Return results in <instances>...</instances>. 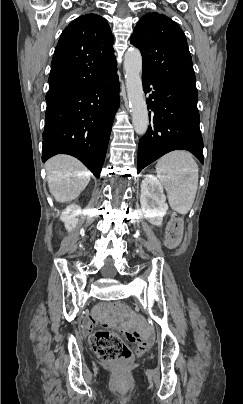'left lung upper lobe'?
Instances as JSON below:
<instances>
[{"mask_svg": "<svg viewBox=\"0 0 243 404\" xmlns=\"http://www.w3.org/2000/svg\"><path fill=\"white\" fill-rule=\"evenodd\" d=\"M142 54V74L195 86V74L185 34L170 18L148 13L130 39Z\"/></svg>", "mask_w": 243, "mask_h": 404, "instance_id": "5c2ea615", "label": "left lung upper lobe"}]
</instances>
